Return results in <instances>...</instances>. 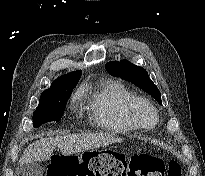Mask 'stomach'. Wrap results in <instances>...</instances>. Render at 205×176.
Instances as JSON below:
<instances>
[{
	"label": "stomach",
	"instance_id": "1",
	"mask_svg": "<svg viewBox=\"0 0 205 176\" xmlns=\"http://www.w3.org/2000/svg\"><path fill=\"white\" fill-rule=\"evenodd\" d=\"M92 152H97V150L90 149V150L86 151V153H92Z\"/></svg>",
	"mask_w": 205,
	"mask_h": 176
}]
</instances>
